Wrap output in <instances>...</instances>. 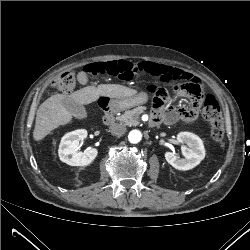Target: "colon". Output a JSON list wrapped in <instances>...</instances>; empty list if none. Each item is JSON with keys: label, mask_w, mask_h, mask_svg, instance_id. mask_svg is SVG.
<instances>
[{"label": "colon", "mask_w": 250, "mask_h": 250, "mask_svg": "<svg viewBox=\"0 0 250 250\" xmlns=\"http://www.w3.org/2000/svg\"><path fill=\"white\" fill-rule=\"evenodd\" d=\"M137 70H142L127 61L92 63L83 69L87 76H112L121 80L130 79ZM76 75L72 70L64 72L54 80L53 87L61 92H70L75 88ZM164 89V88H160ZM155 92V98L159 97V90ZM191 96H197L198 91L190 92ZM203 116L210 126V135L214 142L221 143L224 137L223 120L220 105L213 95L204 97Z\"/></svg>", "instance_id": "colon-1"}]
</instances>
